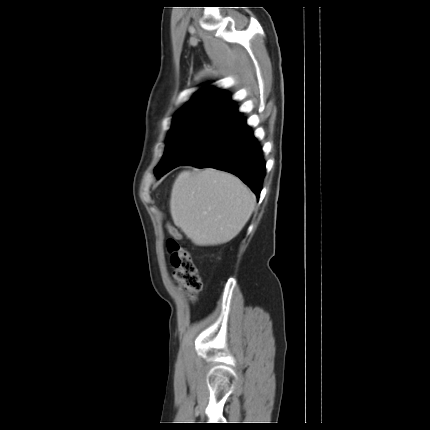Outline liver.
Returning a JSON list of instances; mask_svg holds the SVG:
<instances>
[{
  "mask_svg": "<svg viewBox=\"0 0 430 430\" xmlns=\"http://www.w3.org/2000/svg\"><path fill=\"white\" fill-rule=\"evenodd\" d=\"M255 195L235 175L208 168L183 171L172 188L174 224L196 245L224 244L249 220Z\"/></svg>",
  "mask_w": 430,
  "mask_h": 430,
  "instance_id": "obj_1",
  "label": "liver"
}]
</instances>
